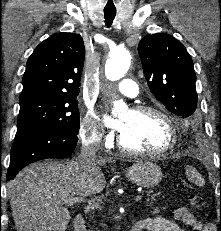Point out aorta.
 <instances>
[{"label": "aorta", "instance_id": "obj_1", "mask_svg": "<svg viewBox=\"0 0 221 231\" xmlns=\"http://www.w3.org/2000/svg\"><path fill=\"white\" fill-rule=\"evenodd\" d=\"M131 61L130 52L124 48H116L109 53L105 64V75L110 81H117L124 77L129 69ZM125 107L123 101L114 102V109Z\"/></svg>", "mask_w": 221, "mask_h": 231}]
</instances>
